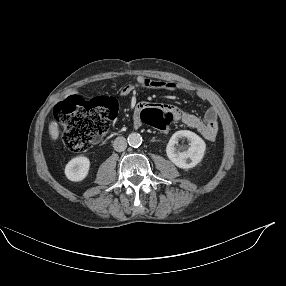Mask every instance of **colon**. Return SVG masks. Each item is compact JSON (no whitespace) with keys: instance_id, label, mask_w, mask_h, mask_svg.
Instances as JSON below:
<instances>
[{"instance_id":"obj_1","label":"colon","mask_w":286,"mask_h":286,"mask_svg":"<svg viewBox=\"0 0 286 286\" xmlns=\"http://www.w3.org/2000/svg\"><path fill=\"white\" fill-rule=\"evenodd\" d=\"M55 117L63 129V143L73 152H81L97 144L117 113V101L110 96L84 100L69 96L58 102ZM144 125L157 132H168L173 124L170 113L148 110L143 117Z\"/></svg>"}]
</instances>
